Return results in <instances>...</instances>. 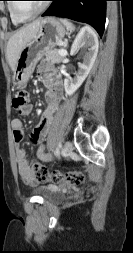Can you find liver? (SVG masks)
<instances>
[{"instance_id":"1","label":"liver","mask_w":133,"mask_h":253,"mask_svg":"<svg viewBox=\"0 0 133 253\" xmlns=\"http://www.w3.org/2000/svg\"><path fill=\"white\" fill-rule=\"evenodd\" d=\"M42 19H37L32 23L22 27L15 32L7 43L6 56L10 68L15 70L17 59L24 46L37 34Z\"/></svg>"}]
</instances>
